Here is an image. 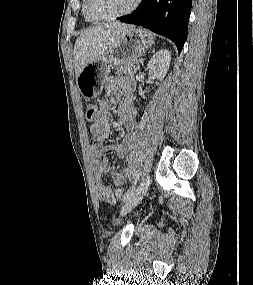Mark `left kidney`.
Returning a JSON list of instances; mask_svg holds the SVG:
<instances>
[{
  "instance_id": "5707ae66",
  "label": "left kidney",
  "mask_w": 253,
  "mask_h": 285,
  "mask_svg": "<svg viewBox=\"0 0 253 285\" xmlns=\"http://www.w3.org/2000/svg\"><path fill=\"white\" fill-rule=\"evenodd\" d=\"M171 62V53L167 49L157 51L148 63L151 78L162 81L167 74Z\"/></svg>"
}]
</instances>
